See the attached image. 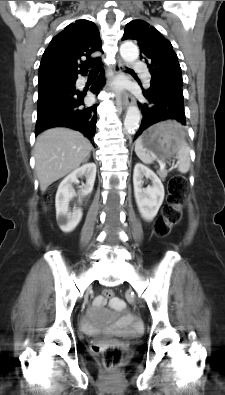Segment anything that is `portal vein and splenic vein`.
<instances>
[{"label": "portal vein and splenic vein", "instance_id": "obj_1", "mask_svg": "<svg viewBox=\"0 0 225 395\" xmlns=\"http://www.w3.org/2000/svg\"><path fill=\"white\" fill-rule=\"evenodd\" d=\"M158 163H159L160 169H164L165 168V163L164 162H162L161 160H158Z\"/></svg>", "mask_w": 225, "mask_h": 395}]
</instances>
